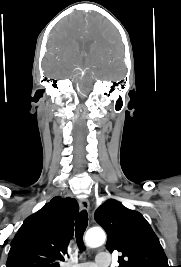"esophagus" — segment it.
Wrapping results in <instances>:
<instances>
[{
    "label": "esophagus",
    "mask_w": 181,
    "mask_h": 267,
    "mask_svg": "<svg viewBox=\"0 0 181 267\" xmlns=\"http://www.w3.org/2000/svg\"><path fill=\"white\" fill-rule=\"evenodd\" d=\"M79 205H80V208L82 210L89 211V209H90V203H89L88 199H81L79 201Z\"/></svg>",
    "instance_id": "esophagus-1"
}]
</instances>
